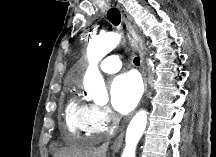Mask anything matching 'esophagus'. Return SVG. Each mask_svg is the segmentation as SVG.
<instances>
[{
	"mask_svg": "<svg viewBox=\"0 0 216 157\" xmlns=\"http://www.w3.org/2000/svg\"><path fill=\"white\" fill-rule=\"evenodd\" d=\"M116 7L119 9L122 18L127 26L129 35L133 38V40L136 42V48L139 52L140 59H141V66H142V75H143V83H144V91L145 93L148 90V81H147V72H146V66H145V47L143 44V40L140 36V33L138 31V28L133 23L132 17L129 15V13L125 10L123 6L120 4H117ZM123 142V133H121L113 142L112 144V150L118 151L122 145Z\"/></svg>",
	"mask_w": 216,
	"mask_h": 157,
	"instance_id": "34e87169",
	"label": "esophagus"
}]
</instances>
